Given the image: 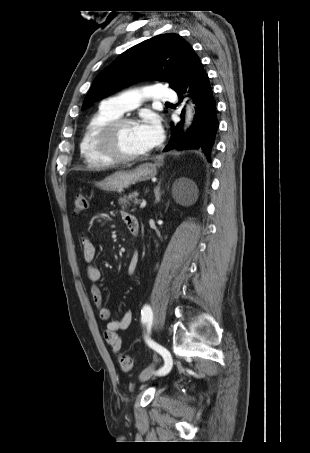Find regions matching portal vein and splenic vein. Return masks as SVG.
Returning a JSON list of instances; mask_svg holds the SVG:
<instances>
[{
    "label": "portal vein and splenic vein",
    "instance_id": "obj_1",
    "mask_svg": "<svg viewBox=\"0 0 310 453\" xmlns=\"http://www.w3.org/2000/svg\"><path fill=\"white\" fill-rule=\"evenodd\" d=\"M145 206H146V201L143 200V201L140 203V207H141V208H144Z\"/></svg>",
    "mask_w": 310,
    "mask_h": 453
}]
</instances>
